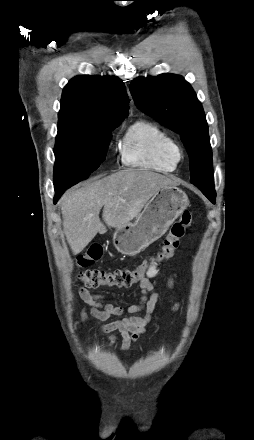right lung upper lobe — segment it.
Here are the masks:
<instances>
[{
	"instance_id": "obj_1",
	"label": "right lung upper lobe",
	"mask_w": 254,
	"mask_h": 440,
	"mask_svg": "<svg viewBox=\"0 0 254 440\" xmlns=\"http://www.w3.org/2000/svg\"><path fill=\"white\" fill-rule=\"evenodd\" d=\"M124 83L117 77L77 76L62 93L59 120L105 124L124 120L129 110Z\"/></svg>"
}]
</instances>
